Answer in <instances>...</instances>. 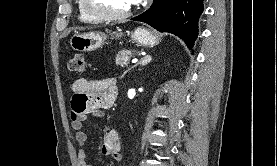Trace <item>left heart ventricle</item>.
<instances>
[{"mask_svg":"<svg viewBox=\"0 0 277 166\" xmlns=\"http://www.w3.org/2000/svg\"><path fill=\"white\" fill-rule=\"evenodd\" d=\"M91 8L110 14H120L130 9L133 0H87Z\"/></svg>","mask_w":277,"mask_h":166,"instance_id":"obj_1","label":"left heart ventricle"}]
</instances>
